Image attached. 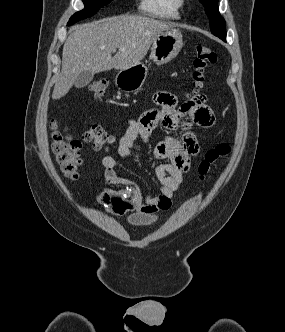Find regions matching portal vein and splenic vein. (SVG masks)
<instances>
[{
  "mask_svg": "<svg viewBox=\"0 0 285 332\" xmlns=\"http://www.w3.org/2000/svg\"><path fill=\"white\" fill-rule=\"evenodd\" d=\"M119 50L124 51V48H120Z\"/></svg>",
  "mask_w": 285,
  "mask_h": 332,
  "instance_id": "portal-vein-and-splenic-vein-1",
  "label": "portal vein and splenic vein"
}]
</instances>
